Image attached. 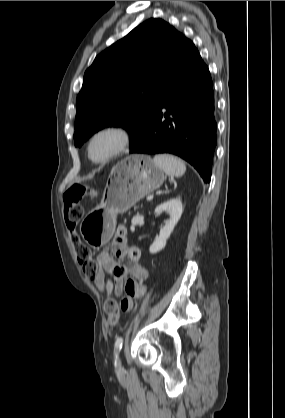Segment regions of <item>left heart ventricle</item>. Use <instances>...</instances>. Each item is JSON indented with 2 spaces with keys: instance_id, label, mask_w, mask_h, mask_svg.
<instances>
[{
  "instance_id": "left-heart-ventricle-1",
  "label": "left heart ventricle",
  "mask_w": 285,
  "mask_h": 418,
  "mask_svg": "<svg viewBox=\"0 0 285 418\" xmlns=\"http://www.w3.org/2000/svg\"><path fill=\"white\" fill-rule=\"evenodd\" d=\"M116 144V138L113 135H102L97 138L91 147L92 156L96 159L102 158L108 154Z\"/></svg>"
}]
</instances>
